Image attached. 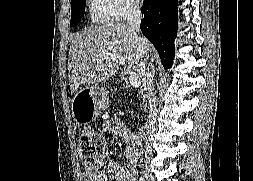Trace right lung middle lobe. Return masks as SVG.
I'll use <instances>...</instances> for the list:
<instances>
[{
  "instance_id": "dd1d6c3e",
  "label": "right lung middle lobe",
  "mask_w": 253,
  "mask_h": 181,
  "mask_svg": "<svg viewBox=\"0 0 253 181\" xmlns=\"http://www.w3.org/2000/svg\"><path fill=\"white\" fill-rule=\"evenodd\" d=\"M85 13V0H71V21L70 26H74Z\"/></svg>"
}]
</instances>
